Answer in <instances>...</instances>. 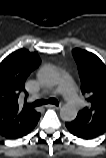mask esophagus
Listing matches in <instances>:
<instances>
[{
    "label": "esophagus",
    "instance_id": "obj_1",
    "mask_svg": "<svg viewBox=\"0 0 106 158\" xmlns=\"http://www.w3.org/2000/svg\"><path fill=\"white\" fill-rule=\"evenodd\" d=\"M47 106L51 107V108H55V109H60L63 106V102H60L57 105L56 104H48Z\"/></svg>",
    "mask_w": 106,
    "mask_h": 158
}]
</instances>
